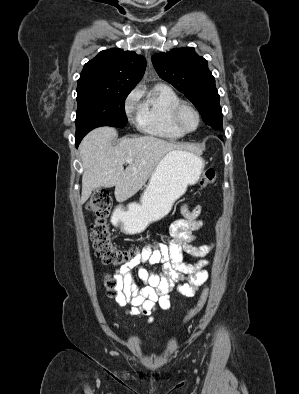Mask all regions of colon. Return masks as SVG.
Masks as SVG:
<instances>
[{
    "label": "colon",
    "instance_id": "5ec220e1",
    "mask_svg": "<svg viewBox=\"0 0 299 394\" xmlns=\"http://www.w3.org/2000/svg\"><path fill=\"white\" fill-rule=\"evenodd\" d=\"M216 181V173L212 168L204 171L200 180V187L211 185ZM113 206V200L106 190L95 192L89 199L86 208L92 212L95 219L92 223L91 238L95 254L106 265L119 266L125 265L137 257L141 250L138 247L133 248H120L114 245L111 239V232L107 223V218L110 215ZM169 241L168 236H163L161 241H155L153 248H158ZM103 285L108 292L112 294L116 291L117 281L112 276H105ZM208 290L204 289L196 307L190 312L187 319L196 316L204 307L207 299Z\"/></svg>",
    "mask_w": 299,
    "mask_h": 394
}]
</instances>
